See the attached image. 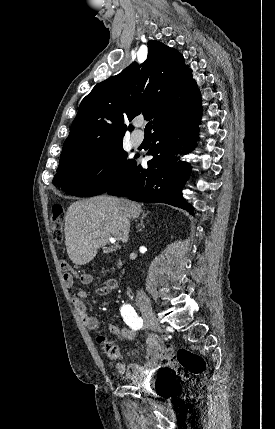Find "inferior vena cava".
Segmentation results:
<instances>
[{
    "mask_svg": "<svg viewBox=\"0 0 275 429\" xmlns=\"http://www.w3.org/2000/svg\"><path fill=\"white\" fill-rule=\"evenodd\" d=\"M137 301L139 303H149L148 297L142 290L137 292Z\"/></svg>",
    "mask_w": 275,
    "mask_h": 429,
    "instance_id": "obj_1",
    "label": "inferior vena cava"
}]
</instances>
